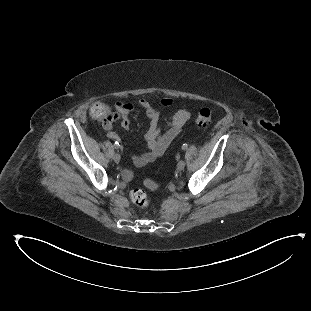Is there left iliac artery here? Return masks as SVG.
<instances>
[{
  "instance_id": "obj_1",
  "label": "left iliac artery",
  "mask_w": 311,
  "mask_h": 311,
  "mask_svg": "<svg viewBox=\"0 0 311 311\" xmlns=\"http://www.w3.org/2000/svg\"><path fill=\"white\" fill-rule=\"evenodd\" d=\"M187 147H188V145H187V144H183V145H182V149H183V150H186V149H187Z\"/></svg>"
}]
</instances>
